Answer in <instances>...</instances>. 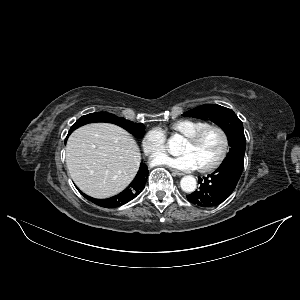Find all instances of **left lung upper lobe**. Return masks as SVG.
<instances>
[{
	"label": "left lung upper lobe",
	"instance_id": "left-lung-upper-lobe-1",
	"mask_svg": "<svg viewBox=\"0 0 300 300\" xmlns=\"http://www.w3.org/2000/svg\"><path fill=\"white\" fill-rule=\"evenodd\" d=\"M183 116L204 120L211 119L225 131L228 137L229 146L231 147L228 155L244 157L246 139L243 124L231 109L216 104H208L189 110Z\"/></svg>",
	"mask_w": 300,
	"mask_h": 300
}]
</instances>
